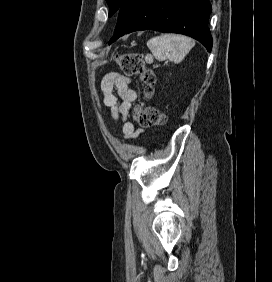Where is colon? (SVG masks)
<instances>
[{"label": "colon", "instance_id": "5ec220e1", "mask_svg": "<svg viewBox=\"0 0 272 282\" xmlns=\"http://www.w3.org/2000/svg\"><path fill=\"white\" fill-rule=\"evenodd\" d=\"M117 60L124 74L136 75L140 78L143 83L144 98L149 99L153 95L154 75L145 65L142 56L135 53H126L119 56ZM134 118L141 126L162 125L166 122V116L145 101L136 105Z\"/></svg>", "mask_w": 272, "mask_h": 282}]
</instances>
